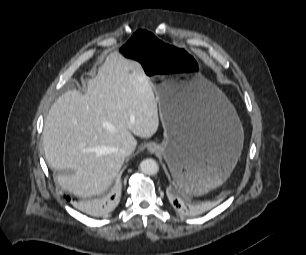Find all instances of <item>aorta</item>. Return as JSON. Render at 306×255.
Instances as JSON below:
<instances>
[{
  "label": "aorta",
  "instance_id": "obj_1",
  "mask_svg": "<svg viewBox=\"0 0 306 255\" xmlns=\"http://www.w3.org/2000/svg\"><path fill=\"white\" fill-rule=\"evenodd\" d=\"M139 168L145 175H155L159 171V165L152 158H147L141 161Z\"/></svg>",
  "mask_w": 306,
  "mask_h": 255
}]
</instances>
